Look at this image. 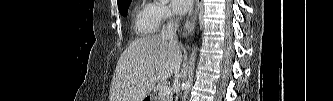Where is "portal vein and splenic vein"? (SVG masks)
<instances>
[{
    "label": "portal vein and splenic vein",
    "mask_w": 333,
    "mask_h": 101,
    "mask_svg": "<svg viewBox=\"0 0 333 101\" xmlns=\"http://www.w3.org/2000/svg\"><path fill=\"white\" fill-rule=\"evenodd\" d=\"M160 94H161L162 96H167V95H169V94H170V89H169V87H167V86H163V87H161V89H160Z\"/></svg>",
    "instance_id": "1"
}]
</instances>
